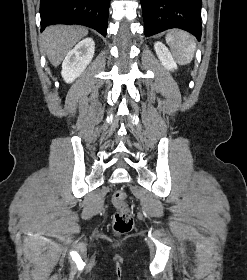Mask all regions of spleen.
Wrapping results in <instances>:
<instances>
[{
  "mask_svg": "<svg viewBox=\"0 0 247 280\" xmlns=\"http://www.w3.org/2000/svg\"><path fill=\"white\" fill-rule=\"evenodd\" d=\"M165 39L178 63L187 65L192 61L196 50V41L192 35L182 30H172Z\"/></svg>",
  "mask_w": 247,
  "mask_h": 280,
  "instance_id": "spleen-1",
  "label": "spleen"
}]
</instances>
